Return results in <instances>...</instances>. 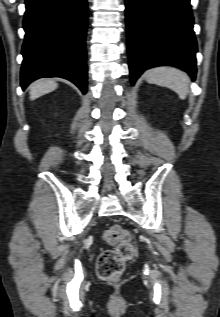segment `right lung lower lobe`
Masks as SVG:
<instances>
[{"label":"right lung lower lobe","mask_w":220,"mask_h":317,"mask_svg":"<svg viewBox=\"0 0 220 317\" xmlns=\"http://www.w3.org/2000/svg\"><path fill=\"white\" fill-rule=\"evenodd\" d=\"M21 86L43 77L70 80L85 94L86 0H26Z\"/></svg>","instance_id":"obj_1"}]
</instances>
